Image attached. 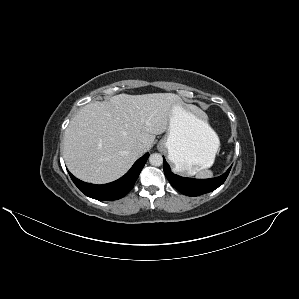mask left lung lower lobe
I'll list each match as a JSON object with an SVG mask.
<instances>
[{
  "label": "left lung lower lobe",
  "mask_w": 299,
  "mask_h": 299,
  "mask_svg": "<svg viewBox=\"0 0 299 299\" xmlns=\"http://www.w3.org/2000/svg\"><path fill=\"white\" fill-rule=\"evenodd\" d=\"M164 173L171 185L187 196H199L218 188L226 180L231 167L223 175L212 179H191L173 174L163 157Z\"/></svg>",
  "instance_id": "obj_1"
}]
</instances>
